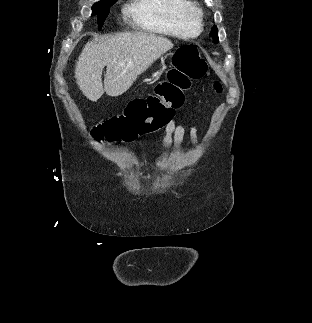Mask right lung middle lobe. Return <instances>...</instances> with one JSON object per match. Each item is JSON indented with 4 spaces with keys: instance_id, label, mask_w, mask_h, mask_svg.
Instances as JSON below:
<instances>
[{
    "instance_id": "dd1d6c3e",
    "label": "right lung middle lobe",
    "mask_w": 312,
    "mask_h": 323,
    "mask_svg": "<svg viewBox=\"0 0 312 323\" xmlns=\"http://www.w3.org/2000/svg\"><path fill=\"white\" fill-rule=\"evenodd\" d=\"M116 1L117 0H114L109 3H95L93 5L92 14L93 15L97 14L99 28H101L103 26V23L109 13V6Z\"/></svg>"
}]
</instances>
